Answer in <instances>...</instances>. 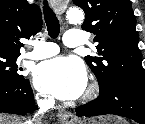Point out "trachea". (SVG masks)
<instances>
[{
    "label": "trachea",
    "instance_id": "trachea-1",
    "mask_svg": "<svg viewBox=\"0 0 145 124\" xmlns=\"http://www.w3.org/2000/svg\"><path fill=\"white\" fill-rule=\"evenodd\" d=\"M43 4L44 18L48 34L51 38H57L60 32L59 20L53 10L49 7L48 2L44 1Z\"/></svg>",
    "mask_w": 145,
    "mask_h": 124
}]
</instances>
